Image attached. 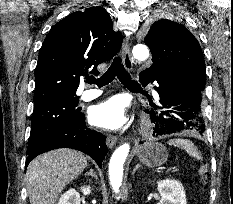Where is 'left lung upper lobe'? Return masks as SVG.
Instances as JSON below:
<instances>
[{
  "instance_id": "1",
  "label": "left lung upper lobe",
  "mask_w": 233,
  "mask_h": 204,
  "mask_svg": "<svg viewBox=\"0 0 233 204\" xmlns=\"http://www.w3.org/2000/svg\"><path fill=\"white\" fill-rule=\"evenodd\" d=\"M144 42L150 47L153 64L140 74H147L157 62L176 59L205 86L206 68L199 42L183 25L168 19L155 21Z\"/></svg>"
}]
</instances>
